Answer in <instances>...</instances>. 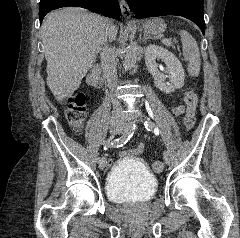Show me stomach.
<instances>
[{"label": "stomach", "instance_id": "stomach-1", "mask_svg": "<svg viewBox=\"0 0 240 238\" xmlns=\"http://www.w3.org/2000/svg\"><path fill=\"white\" fill-rule=\"evenodd\" d=\"M143 29L145 33L152 35L161 34L166 30V24L161 18H153L144 21Z\"/></svg>", "mask_w": 240, "mask_h": 238}]
</instances>
